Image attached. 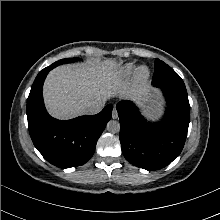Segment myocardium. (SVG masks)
<instances>
[{"instance_id":"1","label":"myocardium","mask_w":220,"mask_h":220,"mask_svg":"<svg viewBox=\"0 0 220 220\" xmlns=\"http://www.w3.org/2000/svg\"><path fill=\"white\" fill-rule=\"evenodd\" d=\"M149 77V70L146 67H140L136 72V81L138 83L145 82Z\"/></svg>"}]
</instances>
